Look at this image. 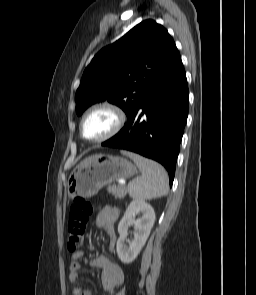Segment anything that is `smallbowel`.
Listing matches in <instances>:
<instances>
[{
  "mask_svg": "<svg viewBox=\"0 0 256 295\" xmlns=\"http://www.w3.org/2000/svg\"><path fill=\"white\" fill-rule=\"evenodd\" d=\"M120 216V212L115 207L103 208L96 217V225L103 227L109 238V247L113 249L116 241V233L114 225ZM84 256L83 251H78L73 254L72 261L69 266V281L72 286L73 295H92L90 291L78 284L79 271L81 264L79 262ZM90 268H101V285L106 295H113L116 287L121 284L124 279V272L120 266L115 264L107 257L99 256L89 261Z\"/></svg>",
  "mask_w": 256,
  "mask_h": 295,
  "instance_id": "obj_1",
  "label": "small bowel"
}]
</instances>
